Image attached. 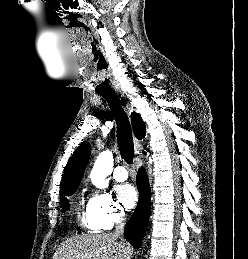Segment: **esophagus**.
<instances>
[{"instance_id":"obj_1","label":"esophagus","mask_w":248,"mask_h":259,"mask_svg":"<svg viewBox=\"0 0 248 259\" xmlns=\"http://www.w3.org/2000/svg\"><path fill=\"white\" fill-rule=\"evenodd\" d=\"M141 148V142L138 139H134V163H133V169L137 170L138 166H139V158H138V154H139V150Z\"/></svg>"}]
</instances>
